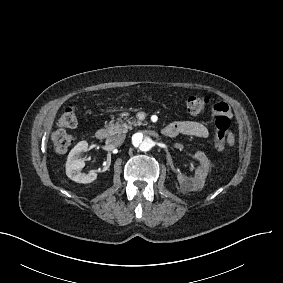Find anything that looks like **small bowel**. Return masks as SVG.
<instances>
[{
  "instance_id": "1",
  "label": "small bowel",
  "mask_w": 283,
  "mask_h": 283,
  "mask_svg": "<svg viewBox=\"0 0 283 283\" xmlns=\"http://www.w3.org/2000/svg\"><path fill=\"white\" fill-rule=\"evenodd\" d=\"M228 108V103L222 100L219 101L217 104L211 106L208 110V113L211 117L216 118L220 115H226L229 110ZM165 128L172 137L177 135H187L199 138H206L209 135L208 127L204 123L197 121L174 122L169 124ZM227 144L228 146H232L234 144V136L232 134L229 135Z\"/></svg>"
}]
</instances>
